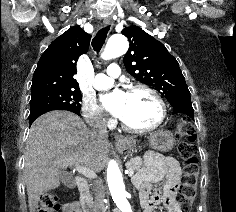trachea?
Returning <instances> with one entry per match:
<instances>
[{
  "mask_svg": "<svg viewBox=\"0 0 236 212\" xmlns=\"http://www.w3.org/2000/svg\"><path fill=\"white\" fill-rule=\"evenodd\" d=\"M110 29V26H106L98 31L96 36L94 37L92 41V46L94 51L99 52L102 48V46L105 43L107 33Z\"/></svg>",
  "mask_w": 236,
  "mask_h": 212,
  "instance_id": "3493384b",
  "label": "trachea"
}]
</instances>
